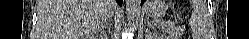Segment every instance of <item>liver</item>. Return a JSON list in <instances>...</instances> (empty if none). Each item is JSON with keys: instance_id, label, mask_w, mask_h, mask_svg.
Segmentation results:
<instances>
[{"instance_id": "liver-1", "label": "liver", "mask_w": 249, "mask_h": 39, "mask_svg": "<svg viewBox=\"0 0 249 39\" xmlns=\"http://www.w3.org/2000/svg\"><path fill=\"white\" fill-rule=\"evenodd\" d=\"M116 8L114 0H38L41 39H94Z\"/></svg>"}]
</instances>
